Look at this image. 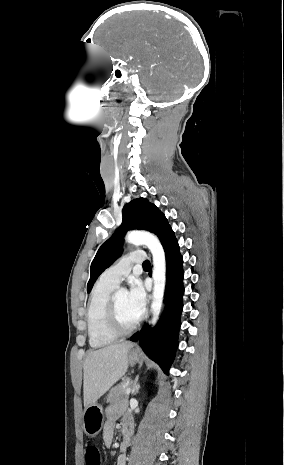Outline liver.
<instances>
[{"mask_svg": "<svg viewBox=\"0 0 284 465\" xmlns=\"http://www.w3.org/2000/svg\"><path fill=\"white\" fill-rule=\"evenodd\" d=\"M132 347H134L133 343L127 341L119 345H107L104 349L88 353L83 363L85 409L96 403L127 373V355Z\"/></svg>", "mask_w": 284, "mask_h": 465, "instance_id": "liver-1", "label": "liver"}]
</instances>
